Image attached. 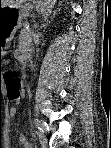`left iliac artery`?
Listing matches in <instances>:
<instances>
[{
  "mask_svg": "<svg viewBox=\"0 0 111 148\" xmlns=\"http://www.w3.org/2000/svg\"><path fill=\"white\" fill-rule=\"evenodd\" d=\"M34 124L40 129L41 122L38 119L34 120Z\"/></svg>",
  "mask_w": 111,
  "mask_h": 148,
  "instance_id": "left-iliac-artery-1",
  "label": "left iliac artery"
}]
</instances>
